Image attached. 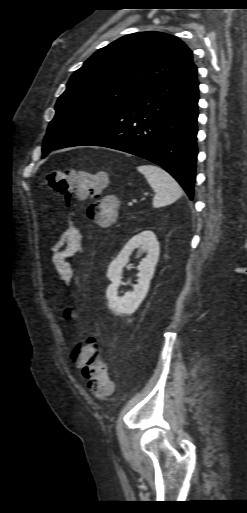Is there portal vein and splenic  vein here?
Wrapping results in <instances>:
<instances>
[{
  "label": "portal vein and splenic vein",
  "instance_id": "portal-vein-and-splenic-vein-1",
  "mask_svg": "<svg viewBox=\"0 0 247 513\" xmlns=\"http://www.w3.org/2000/svg\"><path fill=\"white\" fill-rule=\"evenodd\" d=\"M144 199H145V198H143L142 200H144ZM132 204H133L132 202H130V203H129V205H132Z\"/></svg>",
  "mask_w": 247,
  "mask_h": 513
}]
</instances>
